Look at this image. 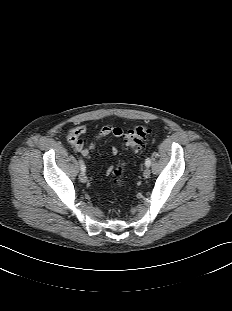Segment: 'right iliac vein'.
Masks as SVG:
<instances>
[{
    "instance_id": "1",
    "label": "right iliac vein",
    "mask_w": 232,
    "mask_h": 311,
    "mask_svg": "<svg viewBox=\"0 0 232 311\" xmlns=\"http://www.w3.org/2000/svg\"><path fill=\"white\" fill-rule=\"evenodd\" d=\"M79 179H80V181H81L82 183L87 182V176H86L85 173H83V172L80 173Z\"/></svg>"
}]
</instances>
